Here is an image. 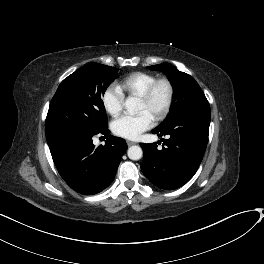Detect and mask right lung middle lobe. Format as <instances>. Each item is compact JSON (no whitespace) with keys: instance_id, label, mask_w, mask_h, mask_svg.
Returning <instances> with one entry per match:
<instances>
[{"instance_id":"dd1d6c3e","label":"right lung middle lobe","mask_w":264,"mask_h":264,"mask_svg":"<svg viewBox=\"0 0 264 264\" xmlns=\"http://www.w3.org/2000/svg\"><path fill=\"white\" fill-rule=\"evenodd\" d=\"M117 72V68L90 63L65 78L49 106L46 136L70 130L98 133L106 127L102 96Z\"/></svg>"}]
</instances>
